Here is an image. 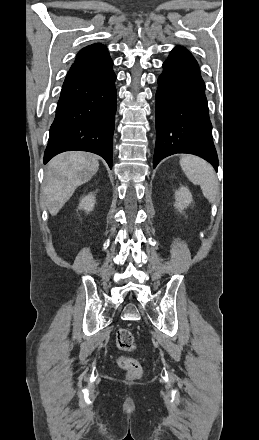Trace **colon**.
<instances>
[{"label":"colon","instance_id":"colon-1","mask_svg":"<svg viewBox=\"0 0 259 440\" xmlns=\"http://www.w3.org/2000/svg\"><path fill=\"white\" fill-rule=\"evenodd\" d=\"M116 345L123 352L134 351L136 343L132 332L126 328L119 329L116 334ZM118 365L127 372L130 378L139 377L142 371L140 363L130 356H120Z\"/></svg>","mask_w":259,"mask_h":440}]
</instances>
